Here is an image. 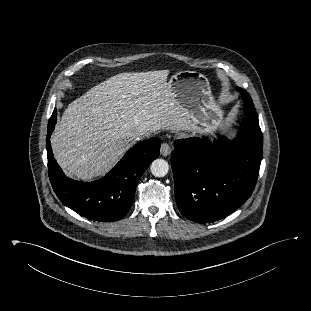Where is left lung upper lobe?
<instances>
[{
    "label": "left lung upper lobe",
    "mask_w": 311,
    "mask_h": 311,
    "mask_svg": "<svg viewBox=\"0 0 311 311\" xmlns=\"http://www.w3.org/2000/svg\"><path fill=\"white\" fill-rule=\"evenodd\" d=\"M237 90L243 95V99L245 102V109L244 110H245L246 118L258 122V117H257L255 107H254V104L252 102L250 95L244 89L237 88Z\"/></svg>",
    "instance_id": "obj_1"
}]
</instances>
